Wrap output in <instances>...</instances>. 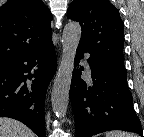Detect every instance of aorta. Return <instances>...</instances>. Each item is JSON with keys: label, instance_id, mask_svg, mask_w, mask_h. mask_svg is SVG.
Wrapping results in <instances>:
<instances>
[{"label": "aorta", "instance_id": "aorta-1", "mask_svg": "<svg viewBox=\"0 0 144 137\" xmlns=\"http://www.w3.org/2000/svg\"><path fill=\"white\" fill-rule=\"evenodd\" d=\"M81 32V26L77 22H69L63 29L62 58L51 93L53 112L60 118H64L68 109L74 59L80 42Z\"/></svg>", "mask_w": 144, "mask_h": 137}]
</instances>
